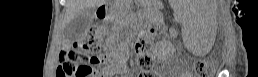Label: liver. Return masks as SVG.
Listing matches in <instances>:
<instances>
[{
    "instance_id": "obj_1",
    "label": "liver",
    "mask_w": 258,
    "mask_h": 77,
    "mask_svg": "<svg viewBox=\"0 0 258 77\" xmlns=\"http://www.w3.org/2000/svg\"><path fill=\"white\" fill-rule=\"evenodd\" d=\"M107 0H65L64 24L67 25L76 15L106 3Z\"/></svg>"
}]
</instances>
